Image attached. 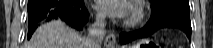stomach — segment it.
<instances>
[{
	"mask_svg": "<svg viewBox=\"0 0 213 48\" xmlns=\"http://www.w3.org/2000/svg\"><path fill=\"white\" fill-rule=\"evenodd\" d=\"M168 30H162L160 33L161 34H163V33H165V32H167ZM146 45H149V41H147V40H142V41H140L139 43H137V44H134V45H132V46H128V47H125V48H141L142 46H146ZM157 47H159L160 48V46L159 45H157V44H155Z\"/></svg>",
	"mask_w": 213,
	"mask_h": 48,
	"instance_id": "stomach-1",
	"label": "stomach"
}]
</instances>
